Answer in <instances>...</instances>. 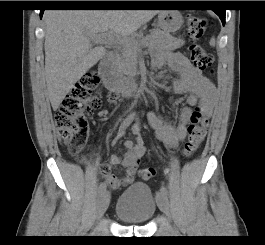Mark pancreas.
<instances>
[{
    "label": "pancreas",
    "mask_w": 265,
    "mask_h": 245,
    "mask_svg": "<svg viewBox=\"0 0 265 245\" xmlns=\"http://www.w3.org/2000/svg\"><path fill=\"white\" fill-rule=\"evenodd\" d=\"M146 46L155 48L161 51H171L180 48L184 45L185 41L175 38L168 33L159 29L151 30L150 35L146 38ZM140 41H131V43L124 45L123 57L119 63V68L123 74L132 77L137 74V59Z\"/></svg>",
    "instance_id": "pancreas-1"
}]
</instances>
